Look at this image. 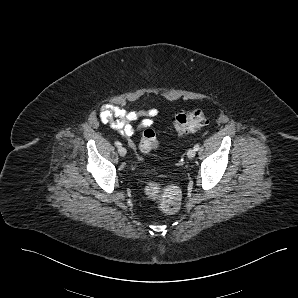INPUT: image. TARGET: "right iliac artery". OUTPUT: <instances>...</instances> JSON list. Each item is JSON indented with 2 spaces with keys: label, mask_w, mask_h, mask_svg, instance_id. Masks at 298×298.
I'll return each mask as SVG.
<instances>
[{
  "label": "right iliac artery",
  "mask_w": 298,
  "mask_h": 298,
  "mask_svg": "<svg viewBox=\"0 0 298 298\" xmlns=\"http://www.w3.org/2000/svg\"><path fill=\"white\" fill-rule=\"evenodd\" d=\"M115 146L118 147V148H120V147H122V144L119 141H116L115 142Z\"/></svg>",
  "instance_id": "obj_1"
}]
</instances>
